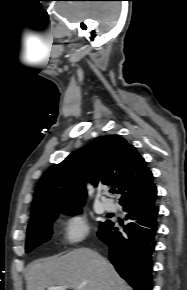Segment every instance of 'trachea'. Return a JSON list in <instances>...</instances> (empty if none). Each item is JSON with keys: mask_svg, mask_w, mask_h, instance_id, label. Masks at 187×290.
Here are the masks:
<instances>
[{"mask_svg": "<svg viewBox=\"0 0 187 290\" xmlns=\"http://www.w3.org/2000/svg\"><path fill=\"white\" fill-rule=\"evenodd\" d=\"M111 192H112V193H115L116 191H115V190H111Z\"/></svg>", "mask_w": 187, "mask_h": 290, "instance_id": "1", "label": "trachea"}]
</instances>
